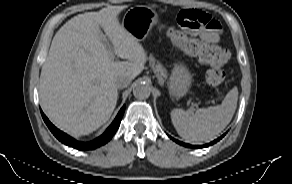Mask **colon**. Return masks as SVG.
I'll use <instances>...</instances> for the list:
<instances>
[{"mask_svg": "<svg viewBox=\"0 0 292 184\" xmlns=\"http://www.w3.org/2000/svg\"><path fill=\"white\" fill-rule=\"evenodd\" d=\"M177 20L181 27L191 33H196L203 28L220 29V23L213 16L197 9L181 10ZM171 39L185 53L197 57L199 61L212 67L206 74L208 84L218 86L224 81L225 73L221 68L230 58L228 50L177 31L171 32Z\"/></svg>", "mask_w": 292, "mask_h": 184, "instance_id": "colon-1", "label": "colon"}]
</instances>
